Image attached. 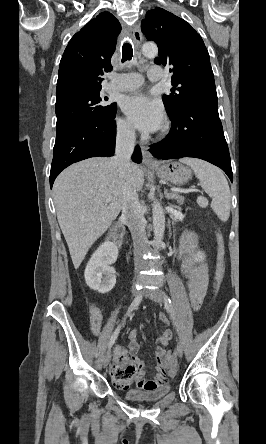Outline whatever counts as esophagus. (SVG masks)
Listing matches in <instances>:
<instances>
[{
    "mask_svg": "<svg viewBox=\"0 0 266 444\" xmlns=\"http://www.w3.org/2000/svg\"><path fill=\"white\" fill-rule=\"evenodd\" d=\"M132 38L136 44H140L142 41V33L140 26L136 25L132 31ZM143 163L147 167H157V163L154 160L152 154L149 152L147 146H142Z\"/></svg>",
    "mask_w": 266,
    "mask_h": 444,
    "instance_id": "34e87169",
    "label": "esophagus"
}]
</instances>
